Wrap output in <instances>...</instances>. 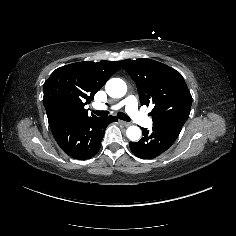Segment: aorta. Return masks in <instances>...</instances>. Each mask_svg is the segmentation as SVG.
<instances>
[{
    "instance_id": "aorta-1",
    "label": "aorta",
    "mask_w": 236,
    "mask_h": 236,
    "mask_svg": "<svg viewBox=\"0 0 236 236\" xmlns=\"http://www.w3.org/2000/svg\"><path fill=\"white\" fill-rule=\"evenodd\" d=\"M107 94L112 98H121L127 92L126 83L119 78H112L107 81L105 86ZM142 132L138 126H129L126 130V136L131 141H138L141 138Z\"/></svg>"
}]
</instances>
